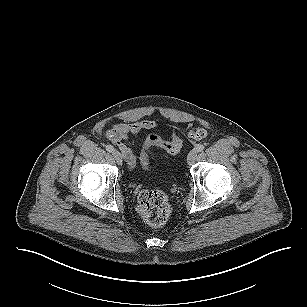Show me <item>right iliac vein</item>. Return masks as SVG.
I'll return each instance as SVG.
<instances>
[{
	"label": "right iliac vein",
	"mask_w": 307,
	"mask_h": 307,
	"mask_svg": "<svg viewBox=\"0 0 307 307\" xmlns=\"http://www.w3.org/2000/svg\"><path fill=\"white\" fill-rule=\"evenodd\" d=\"M113 156L116 160V162L119 164V165H122V162H123V155L117 151V150H114L113 151Z\"/></svg>",
	"instance_id": "right-iliac-vein-1"
}]
</instances>
